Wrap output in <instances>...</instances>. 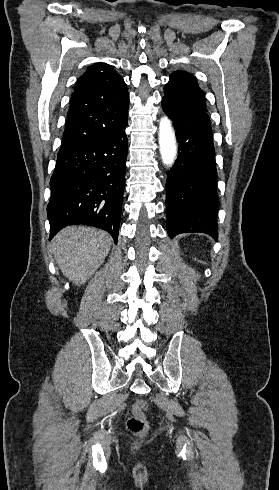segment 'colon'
Instances as JSON below:
<instances>
[{
	"label": "colon",
	"instance_id": "5ec220e1",
	"mask_svg": "<svg viewBox=\"0 0 279 490\" xmlns=\"http://www.w3.org/2000/svg\"><path fill=\"white\" fill-rule=\"evenodd\" d=\"M147 403L144 399L139 398L134 402L131 409V415L128 418L127 426L129 431L137 435L138 441L144 440V435L148 429L146 418Z\"/></svg>",
	"mask_w": 279,
	"mask_h": 490
}]
</instances>
